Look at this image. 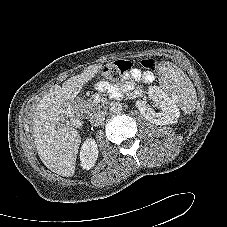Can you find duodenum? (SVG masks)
Returning a JSON list of instances; mask_svg holds the SVG:
<instances>
[{
    "label": "duodenum",
    "mask_w": 227,
    "mask_h": 227,
    "mask_svg": "<svg viewBox=\"0 0 227 227\" xmlns=\"http://www.w3.org/2000/svg\"><path fill=\"white\" fill-rule=\"evenodd\" d=\"M69 119L75 127H81L83 125L82 119L72 109L69 111Z\"/></svg>",
    "instance_id": "1"
}]
</instances>
